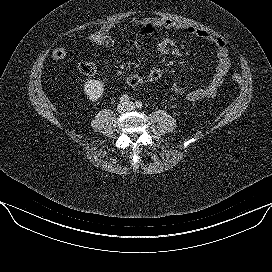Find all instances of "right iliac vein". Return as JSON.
<instances>
[{"label":"right iliac vein","instance_id":"1","mask_svg":"<svg viewBox=\"0 0 272 272\" xmlns=\"http://www.w3.org/2000/svg\"><path fill=\"white\" fill-rule=\"evenodd\" d=\"M127 109L126 103L120 102L117 106V111L123 113Z\"/></svg>","mask_w":272,"mask_h":272}]
</instances>
